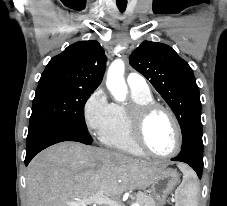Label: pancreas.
I'll list each match as a JSON object with an SVG mask.
<instances>
[{"mask_svg": "<svg viewBox=\"0 0 227 206\" xmlns=\"http://www.w3.org/2000/svg\"><path fill=\"white\" fill-rule=\"evenodd\" d=\"M136 203H138L139 206H157L154 198L143 192L137 193Z\"/></svg>", "mask_w": 227, "mask_h": 206, "instance_id": "cf45deb5", "label": "pancreas"}]
</instances>
